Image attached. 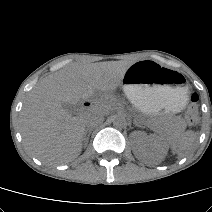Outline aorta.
Instances as JSON below:
<instances>
[{"mask_svg":"<svg viewBox=\"0 0 212 212\" xmlns=\"http://www.w3.org/2000/svg\"><path fill=\"white\" fill-rule=\"evenodd\" d=\"M112 122L116 128H123L126 125V119L123 115H115Z\"/></svg>","mask_w":212,"mask_h":212,"instance_id":"aorta-1","label":"aorta"}]
</instances>
